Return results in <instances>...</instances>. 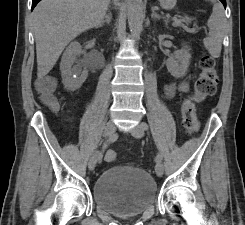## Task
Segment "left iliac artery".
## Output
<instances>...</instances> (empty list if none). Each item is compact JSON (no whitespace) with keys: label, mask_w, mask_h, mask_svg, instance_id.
<instances>
[{"label":"left iliac artery","mask_w":245,"mask_h":225,"mask_svg":"<svg viewBox=\"0 0 245 225\" xmlns=\"http://www.w3.org/2000/svg\"><path fill=\"white\" fill-rule=\"evenodd\" d=\"M142 127L144 130H148V124L143 122L141 123ZM156 162H161L162 161V156L158 153L157 156L155 157Z\"/></svg>","instance_id":"44dca946"}]
</instances>
